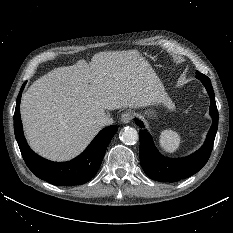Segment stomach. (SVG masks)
<instances>
[{"label": "stomach", "instance_id": "stomach-1", "mask_svg": "<svg viewBox=\"0 0 233 233\" xmlns=\"http://www.w3.org/2000/svg\"><path fill=\"white\" fill-rule=\"evenodd\" d=\"M155 92L157 94V97H159L161 99L167 98L164 85L160 80L157 82V85L155 87ZM145 114L148 117H152V116L155 117L156 116V112L153 109L152 110L150 109V110L146 111Z\"/></svg>", "mask_w": 233, "mask_h": 233}]
</instances>
